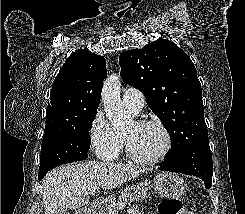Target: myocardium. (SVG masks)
<instances>
[{"label":"myocardium","mask_w":245,"mask_h":214,"mask_svg":"<svg viewBox=\"0 0 245 214\" xmlns=\"http://www.w3.org/2000/svg\"><path fill=\"white\" fill-rule=\"evenodd\" d=\"M135 123L140 126H154L158 128L164 135L165 144L163 149L154 157H143L138 155L130 146L127 138L123 135V142L126 148L127 155L134 161L142 164H154L161 161L172 148V137L169 130L163 125L160 121L150 120V119H141L136 120Z\"/></svg>","instance_id":"obj_1"}]
</instances>
